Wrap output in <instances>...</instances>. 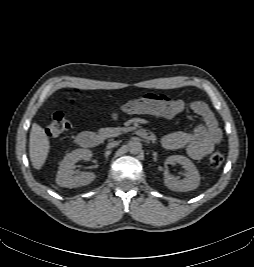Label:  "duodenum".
Listing matches in <instances>:
<instances>
[{"label": "duodenum", "instance_id": "410a0bca", "mask_svg": "<svg viewBox=\"0 0 254 267\" xmlns=\"http://www.w3.org/2000/svg\"><path fill=\"white\" fill-rule=\"evenodd\" d=\"M136 134L144 140L154 141L155 135L146 129H137ZM78 145L84 148H94L101 143V137L92 131H82L76 137Z\"/></svg>", "mask_w": 254, "mask_h": 267}]
</instances>
